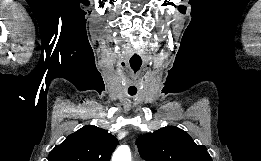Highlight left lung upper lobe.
Instances as JSON below:
<instances>
[{
	"mask_svg": "<svg viewBox=\"0 0 261 161\" xmlns=\"http://www.w3.org/2000/svg\"><path fill=\"white\" fill-rule=\"evenodd\" d=\"M136 145L146 161H212L204 145H196L185 131L174 126L144 134Z\"/></svg>",
	"mask_w": 261,
	"mask_h": 161,
	"instance_id": "5c2ea615",
	"label": "left lung upper lobe"
}]
</instances>
